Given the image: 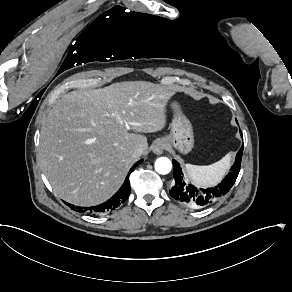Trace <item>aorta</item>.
Returning a JSON list of instances; mask_svg holds the SVG:
<instances>
[{
    "instance_id": "aorta-1",
    "label": "aorta",
    "mask_w": 292,
    "mask_h": 292,
    "mask_svg": "<svg viewBox=\"0 0 292 292\" xmlns=\"http://www.w3.org/2000/svg\"><path fill=\"white\" fill-rule=\"evenodd\" d=\"M172 169V163L168 158H159L155 162V170L161 175H166L170 173Z\"/></svg>"
}]
</instances>
